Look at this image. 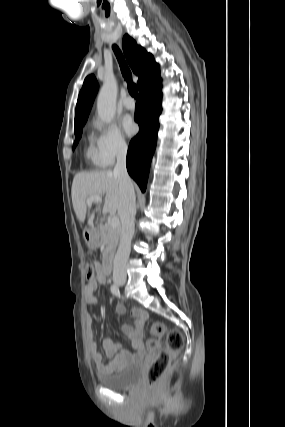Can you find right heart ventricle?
Instances as JSON below:
<instances>
[{"mask_svg": "<svg viewBox=\"0 0 285 427\" xmlns=\"http://www.w3.org/2000/svg\"><path fill=\"white\" fill-rule=\"evenodd\" d=\"M85 157L86 159L92 163V165H94L95 167H101L104 166V164L102 163L95 147L90 144L86 147L85 149Z\"/></svg>", "mask_w": 285, "mask_h": 427, "instance_id": "e07e8e85", "label": "right heart ventricle"}]
</instances>
